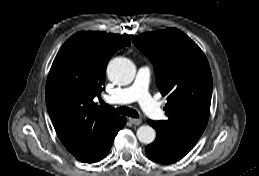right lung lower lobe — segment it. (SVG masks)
I'll use <instances>...</instances> for the list:
<instances>
[{"instance_id": "98d812e1", "label": "right lung lower lobe", "mask_w": 259, "mask_h": 176, "mask_svg": "<svg viewBox=\"0 0 259 176\" xmlns=\"http://www.w3.org/2000/svg\"><path fill=\"white\" fill-rule=\"evenodd\" d=\"M126 123V119L124 117H120L118 125L114 128V130L109 133L105 138H103L92 150L88 153L76 157L81 162L93 163L98 162L103 159L109 152L114 138L118 131L123 128Z\"/></svg>"}]
</instances>
